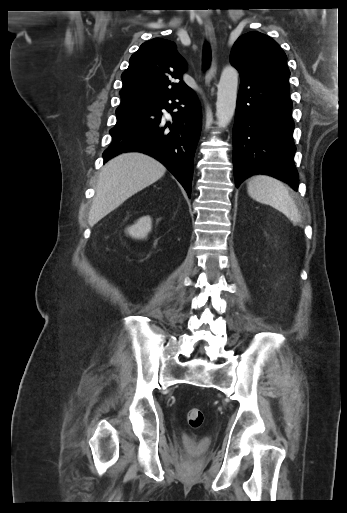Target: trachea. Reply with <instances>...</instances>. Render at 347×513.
I'll list each match as a JSON object with an SVG mask.
<instances>
[{"instance_id":"3493384b","label":"trachea","mask_w":347,"mask_h":513,"mask_svg":"<svg viewBox=\"0 0 347 513\" xmlns=\"http://www.w3.org/2000/svg\"><path fill=\"white\" fill-rule=\"evenodd\" d=\"M203 68L208 69L211 62V51L209 45L206 43L203 49Z\"/></svg>"}]
</instances>
